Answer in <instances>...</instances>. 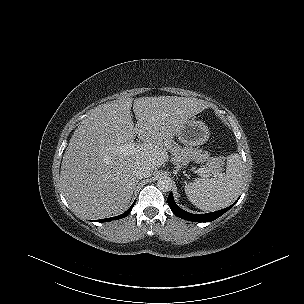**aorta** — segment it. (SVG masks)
<instances>
[{
    "label": "aorta",
    "instance_id": "762f6f07",
    "mask_svg": "<svg viewBox=\"0 0 304 304\" xmlns=\"http://www.w3.org/2000/svg\"><path fill=\"white\" fill-rule=\"evenodd\" d=\"M157 186L160 190L168 192L172 188V181L169 177L163 175L159 177L157 181Z\"/></svg>",
    "mask_w": 304,
    "mask_h": 304
}]
</instances>
